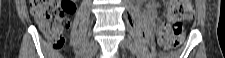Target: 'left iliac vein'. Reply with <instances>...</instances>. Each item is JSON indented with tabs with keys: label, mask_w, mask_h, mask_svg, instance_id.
Wrapping results in <instances>:
<instances>
[{
	"label": "left iliac vein",
	"mask_w": 225,
	"mask_h": 58,
	"mask_svg": "<svg viewBox=\"0 0 225 58\" xmlns=\"http://www.w3.org/2000/svg\"><path fill=\"white\" fill-rule=\"evenodd\" d=\"M121 47L123 48H130V41L126 38H124L121 42H120Z\"/></svg>",
	"instance_id": "left-iliac-vein-1"
}]
</instances>
